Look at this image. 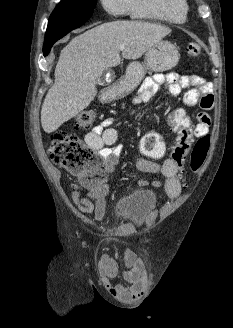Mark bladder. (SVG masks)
Masks as SVG:
<instances>
[{"mask_svg":"<svg viewBox=\"0 0 233 328\" xmlns=\"http://www.w3.org/2000/svg\"><path fill=\"white\" fill-rule=\"evenodd\" d=\"M157 197L147 189H135L126 194L119 202L118 213L121 218L139 223L155 210Z\"/></svg>","mask_w":233,"mask_h":328,"instance_id":"1","label":"bladder"}]
</instances>
